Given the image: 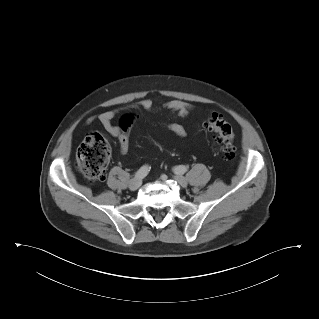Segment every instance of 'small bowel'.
<instances>
[{
	"mask_svg": "<svg viewBox=\"0 0 319 319\" xmlns=\"http://www.w3.org/2000/svg\"><path fill=\"white\" fill-rule=\"evenodd\" d=\"M136 107L145 112H152L156 109L153 101L149 98H144L138 101L136 103ZM161 108L181 117L188 116L192 111V106L181 100L167 101L162 104ZM115 115V110L105 111L98 116V120L108 134L119 139L120 150L124 153L128 150V142L122 141L120 130L114 125L113 120ZM166 126L173 134L180 138H185L187 136V129L181 123L169 122Z\"/></svg>",
	"mask_w": 319,
	"mask_h": 319,
	"instance_id": "c3829d8e",
	"label": "small bowel"
}]
</instances>
